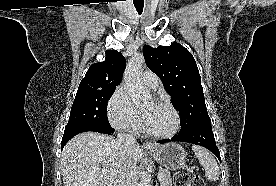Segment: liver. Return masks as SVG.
I'll return each mask as SVG.
<instances>
[{
	"instance_id": "obj_1",
	"label": "liver",
	"mask_w": 276,
	"mask_h": 186,
	"mask_svg": "<svg viewBox=\"0 0 276 186\" xmlns=\"http://www.w3.org/2000/svg\"><path fill=\"white\" fill-rule=\"evenodd\" d=\"M142 155L138 145L124 151L110 136L96 132L78 134L62 151L63 184L64 186H118L119 174L125 163L136 166Z\"/></svg>"
}]
</instances>
